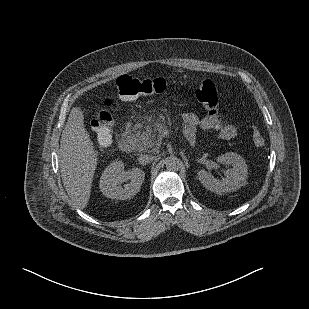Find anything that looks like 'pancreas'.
<instances>
[{
	"label": "pancreas",
	"mask_w": 309,
	"mask_h": 309,
	"mask_svg": "<svg viewBox=\"0 0 309 309\" xmlns=\"http://www.w3.org/2000/svg\"><path fill=\"white\" fill-rule=\"evenodd\" d=\"M135 137L137 149L139 151H147L148 149L158 151L163 140L162 135L154 132L153 130L137 132Z\"/></svg>",
	"instance_id": "obj_1"
}]
</instances>
